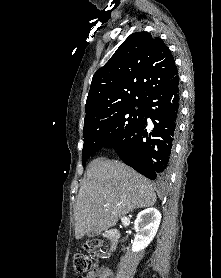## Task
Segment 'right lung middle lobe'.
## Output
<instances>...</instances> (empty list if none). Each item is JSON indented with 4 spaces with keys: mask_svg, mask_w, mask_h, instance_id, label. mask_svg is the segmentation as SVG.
I'll list each match as a JSON object with an SVG mask.
<instances>
[{
    "mask_svg": "<svg viewBox=\"0 0 221 278\" xmlns=\"http://www.w3.org/2000/svg\"><path fill=\"white\" fill-rule=\"evenodd\" d=\"M144 117L143 102L122 107L99 119L86 121L82 164L103 146L120 142Z\"/></svg>",
    "mask_w": 221,
    "mask_h": 278,
    "instance_id": "obj_1",
    "label": "right lung middle lobe"
}]
</instances>
